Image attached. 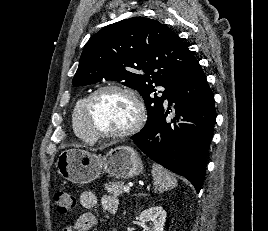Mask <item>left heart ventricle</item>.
Segmentation results:
<instances>
[{
    "label": "left heart ventricle",
    "mask_w": 268,
    "mask_h": 231,
    "mask_svg": "<svg viewBox=\"0 0 268 231\" xmlns=\"http://www.w3.org/2000/svg\"><path fill=\"white\" fill-rule=\"evenodd\" d=\"M135 118V105L121 93L104 92L93 101L91 107L90 121L96 131H120Z\"/></svg>",
    "instance_id": "obj_1"
}]
</instances>
